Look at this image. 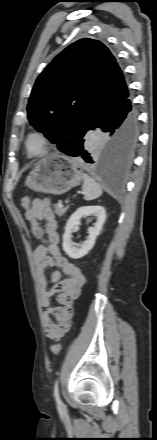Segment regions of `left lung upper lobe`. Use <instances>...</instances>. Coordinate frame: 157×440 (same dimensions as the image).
Returning <instances> with one entry per match:
<instances>
[{"mask_svg":"<svg viewBox=\"0 0 157 440\" xmlns=\"http://www.w3.org/2000/svg\"><path fill=\"white\" fill-rule=\"evenodd\" d=\"M122 70L100 41L69 45L37 78L28 101L30 124L66 152L110 105L128 94Z\"/></svg>","mask_w":157,"mask_h":440,"instance_id":"left-lung-upper-lobe-1","label":"left lung upper lobe"}]
</instances>
